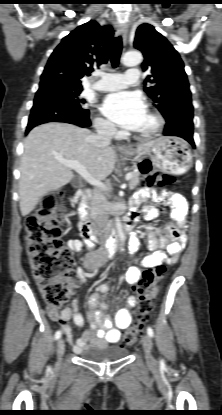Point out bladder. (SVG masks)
I'll return each instance as SVG.
<instances>
[{
  "label": "bladder",
  "mask_w": 222,
  "mask_h": 415,
  "mask_svg": "<svg viewBox=\"0 0 222 415\" xmlns=\"http://www.w3.org/2000/svg\"><path fill=\"white\" fill-rule=\"evenodd\" d=\"M128 353L129 350L127 348L107 345L104 347H91L81 351L79 354L87 361L102 362L124 358Z\"/></svg>",
  "instance_id": "1"
}]
</instances>
